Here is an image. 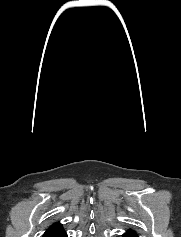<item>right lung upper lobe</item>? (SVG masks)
I'll list each match as a JSON object with an SVG mask.
<instances>
[{"label": "right lung upper lobe", "instance_id": "right-lung-upper-lobe-1", "mask_svg": "<svg viewBox=\"0 0 181 237\" xmlns=\"http://www.w3.org/2000/svg\"><path fill=\"white\" fill-rule=\"evenodd\" d=\"M65 231L63 226L59 223H53L43 234V237H59V235L63 234Z\"/></svg>", "mask_w": 181, "mask_h": 237}]
</instances>
